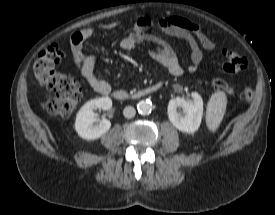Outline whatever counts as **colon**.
<instances>
[{
	"instance_id": "5ec220e1",
	"label": "colon",
	"mask_w": 275,
	"mask_h": 215,
	"mask_svg": "<svg viewBox=\"0 0 275 215\" xmlns=\"http://www.w3.org/2000/svg\"><path fill=\"white\" fill-rule=\"evenodd\" d=\"M225 60L222 64L224 72L236 74L247 67V60L233 50H224ZM64 58V53L57 46H50L40 52L33 65V74L46 89L53 91L55 96L49 101V111L62 118L69 117L82 98V88L78 81L56 70ZM211 83L217 88H228L227 83L213 77ZM253 90L244 87L240 90L241 99L248 101L253 97Z\"/></svg>"
}]
</instances>
